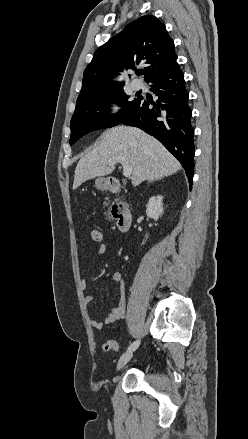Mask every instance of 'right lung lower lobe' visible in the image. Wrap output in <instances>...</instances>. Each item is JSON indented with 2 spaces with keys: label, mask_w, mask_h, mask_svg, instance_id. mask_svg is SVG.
<instances>
[{
  "label": "right lung lower lobe",
  "mask_w": 248,
  "mask_h": 439,
  "mask_svg": "<svg viewBox=\"0 0 248 439\" xmlns=\"http://www.w3.org/2000/svg\"><path fill=\"white\" fill-rule=\"evenodd\" d=\"M152 91L158 96L157 104L138 97L137 103L120 123L141 128L157 138L182 164L190 188L194 172V129L189 94L184 75L178 64L151 77ZM150 104L153 105L150 106Z\"/></svg>",
  "instance_id": "98d812e1"
}]
</instances>
